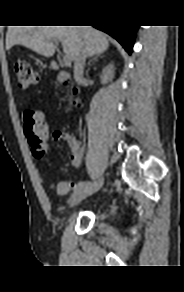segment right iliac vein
Returning <instances> with one entry per match:
<instances>
[{"mask_svg":"<svg viewBox=\"0 0 184 292\" xmlns=\"http://www.w3.org/2000/svg\"><path fill=\"white\" fill-rule=\"evenodd\" d=\"M103 182H104V179L101 178L97 182L93 183L92 185L75 191L69 199V205L71 207H74L86 197L97 192L102 187Z\"/></svg>","mask_w":184,"mask_h":292,"instance_id":"obj_1","label":"right iliac vein"}]
</instances>
